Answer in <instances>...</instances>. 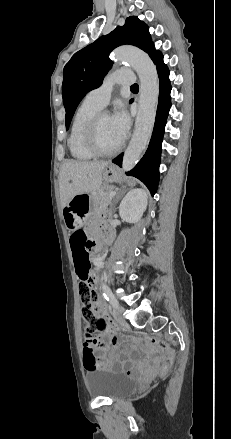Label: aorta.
I'll return each mask as SVG.
<instances>
[{
    "label": "aorta",
    "mask_w": 231,
    "mask_h": 439,
    "mask_svg": "<svg viewBox=\"0 0 231 439\" xmlns=\"http://www.w3.org/2000/svg\"><path fill=\"white\" fill-rule=\"evenodd\" d=\"M115 61L129 63L140 79L139 108L131 141L124 153L122 168L132 170L141 158L154 127L159 98V78L156 66L143 51L132 47H119L113 51Z\"/></svg>",
    "instance_id": "762f6f07"
}]
</instances>
